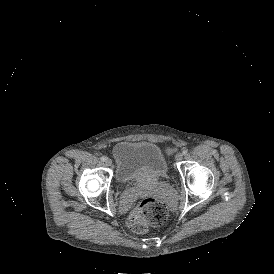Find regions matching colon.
<instances>
[{
    "label": "colon",
    "mask_w": 274,
    "mask_h": 274,
    "mask_svg": "<svg viewBox=\"0 0 274 274\" xmlns=\"http://www.w3.org/2000/svg\"><path fill=\"white\" fill-rule=\"evenodd\" d=\"M169 217L167 205L157 199L143 198L135 205L128 216L126 224L129 230L143 234L149 227L164 224Z\"/></svg>",
    "instance_id": "obj_1"
}]
</instances>
